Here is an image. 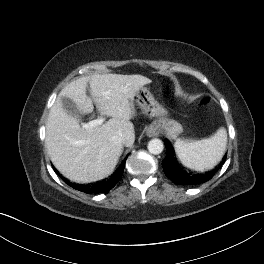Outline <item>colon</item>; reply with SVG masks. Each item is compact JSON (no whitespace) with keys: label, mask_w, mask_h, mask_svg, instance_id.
I'll use <instances>...</instances> for the list:
<instances>
[{"label":"colon","mask_w":264,"mask_h":264,"mask_svg":"<svg viewBox=\"0 0 264 264\" xmlns=\"http://www.w3.org/2000/svg\"><path fill=\"white\" fill-rule=\"evenodd\" d=\"M210 102V98L209 97H204L201 101L202 104H208Z\"/></svg>","instance_id":"1"}]
</instances>
